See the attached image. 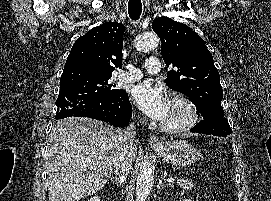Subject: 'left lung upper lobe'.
Here are the masks:
<instances>
[{
	"instance_id": "obj_1",
	"label": "left lung upper lobe",
	"mask_w": 271,
	"mask_h": 201,
	"mask_svg": "<svg viewBox=\"0 0 271 201\" xmlns=\"http://www.w3.org/2000/svg\"><path fill=\"white\" fill-rule=\"evenodd\" d=\"M152 29L161 39L164 62L176 68L168 71L167 86L188 96L204 118L195 127L210 126L216 130L207 134L229 135L232 130L221 106L220 76L203 39L168 17L156 18Z\"/></svg>"
}]
</instances>
